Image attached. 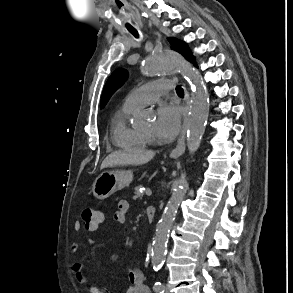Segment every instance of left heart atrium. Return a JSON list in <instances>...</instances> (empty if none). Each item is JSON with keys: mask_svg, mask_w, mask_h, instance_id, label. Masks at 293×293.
Segmentation results:
<instances>
[{"mask_svg": "<svg viewBox=\"0 0 293 293\" xmlns=\"http://www.w3.org/2000/svg\"><path fill=\"white\" fill-rule=\"evenodd\" d=\"M183 110L174 103L164 104L157 110L154 132L159 137L170 139L179 131Z\"/></svg>", "mask_w": 293, "mask_h": 293, "instance_id": "1", "label": "left heart atrium"}]
</instances>
